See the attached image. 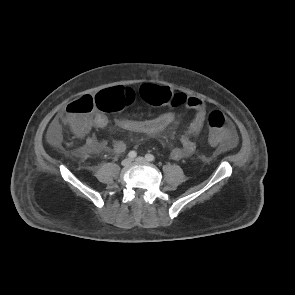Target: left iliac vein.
Segmentation results:
<instances>
[{
	"label": "left iliac vein",
	"mask_w": 295,
	"mask_h": 295,
	"mask_svg": "<svg viewBox=\"0 0 295 295\" xmlns=\"http://www.w3.org/2000/svg\"><path fill=\"white\" fill-rule=\"evenodd\" d=\"M134 161H136V162H147V159H145L144 157H137L136 159H134Z\"/></svg>",
	"instance_id": "obj_1"
}]
</instances>
